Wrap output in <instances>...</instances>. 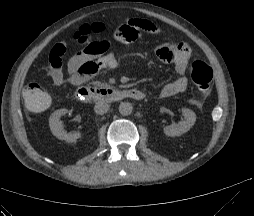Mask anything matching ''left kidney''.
<instances>
[{"label":"left kidney","mask_w":254,"mask_h":216,"mask_svg":"<svg viewBox=\"0 0 254 216\" xmlns=\"http://www.w3.org/2000/svg\"><path fill=\"white\" fill-rule=\"evenodd\" d=\"M181 111L185 117V120L180 121L179 123L175 125L166 126L164 128V133L167 136H170V137L180 136L186 133L187 131H189L190 128L196 122V114L192 110L183 108Z\"/></svg>","instance_id":"5707ae66"}]
</instances>
